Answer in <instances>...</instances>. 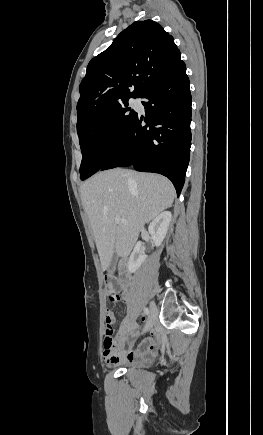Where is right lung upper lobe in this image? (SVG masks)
I'll use <instances>...</instances> for the list:
<instances>
[{"label": "right lung upper lobe", "instance_id": "1", "mask_svg": "<svg viewBox=\"0 0 263 435\" xmlns=\"http://www.w3.org/2000/svg\"><path fill=\"white\" fill-rule=\"evenodd\" d=\"M183 61L171 35L152 20L137 21L87 66L79 91L77 128L103 110L139 98Z\"/></svg>", "mask_w": 263, "mask_h": 435}]
</instances>
